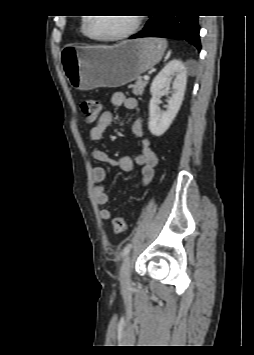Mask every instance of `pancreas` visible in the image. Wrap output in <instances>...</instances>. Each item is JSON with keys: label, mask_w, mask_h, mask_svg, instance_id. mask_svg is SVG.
<instances>
[{"label": "pancreas", "mask_w": 254, "mask_h": 355, "mask_svg": "<svg viewBox=\"0 0 254 355\" xmlns=\"http://www.w3.org/2000/svg\"><path fill=\"white\" fill-rule=\"evenodd\" d=\"M146 85H147V81L138 79L134 84H131L128 87L132 89V93L134 95L141 96L143 94Z\"/></svg>", "instance_id": "1"}]
</instances>
